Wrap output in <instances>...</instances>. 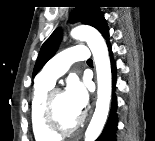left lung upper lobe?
<instances>
[{
  "instance_id": "5c2ea615",
  "label": "left lung upper lobe",
  "mask_w": 155,
  "mask_h": 141,
  "mask_svg": "<svg viewBox=\"0 0 155 141\" xmlns=\"http://www.w3.org/2000/svg\"><path fill=\"white\" fill-rule=\"evenodd\" d=\"M71 21H83L85 24L95 27L105 38L109 34V29L100 11L99 5L93 0H83L79 3L71 17ZM62 31L56 29L51 36L44 42L39 52L33 70V77L38 73L42 66L54 55L61 40Z\"/></svg>"
}]
</instances>
